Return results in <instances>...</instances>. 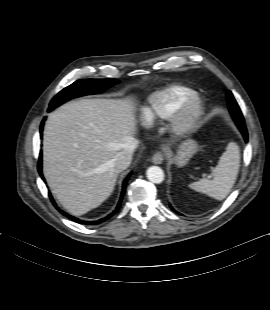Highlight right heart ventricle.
Wrapping results in <instances>:
<instances>
[{
    "instance_id": "1",
    "label": "right heart ventricle",
    "mask_w": 270,
    "mask_h": 310,
    "mask_svg": "<svg viewBox=\"0 0 270 310\" xmlns=\"http://www.w3.org/2000/svg\"><path fill=\"white\" fill-rule=\"evenodd\" d=\"M194 91L187 86L172 84L152 92L141 108V119L146 125L167 120L176 106Z\"/></svg>"
}]
</instances>
